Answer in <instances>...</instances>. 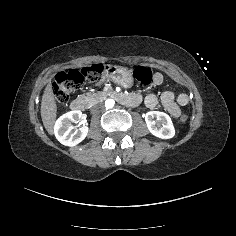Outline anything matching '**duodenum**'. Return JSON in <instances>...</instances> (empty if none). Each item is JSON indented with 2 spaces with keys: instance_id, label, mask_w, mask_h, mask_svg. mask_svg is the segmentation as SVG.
Masks as SVG:
<instances>
[{
  "instance_id": "duodenum-1",
  "label": "duodenum",
  "mask_w": 236,
  "mask_h": 236,
  "mask_svg": "<svg viewBox=\"0 0 236 236\" xmlns=\"http://www.w3.org/2000/svg\"><path fill=\"white\" fill-rule=\"evenodd\" d=\"M109 96L128 106H137L140 103V98L136 95H125L118 92H110ZM70 108L74 112H82L85 109V102L81 98L74 99L70 104Z\"/></svg>"
}]
</instances>
